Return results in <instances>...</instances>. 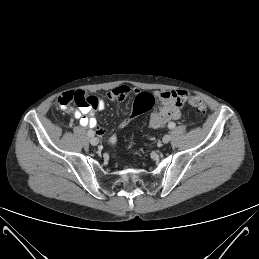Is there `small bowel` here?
Instances as JSON below:
<instances>
[{
	"mask_svg": "<svg viewBox=\"0 0 259 259\" xmlns=\"http://www.w3.org/2000/svg\"><path fill=\"white\" fill-rule=\"evenodd\" d=\"M138 90L127 85H119L113 88L107 95L110 100L122 101L129 94L137 93ZM159 108L154 111L149 118V126L159 129L166 126L172 120L180 118V109L187 98V92L183 90H172L157 92ZM58 105L62 109H67L71 103H75L78 108H71L74 117L79 120L84 127L95 128L99 136L104 135V130L97 126V120L93 112L105 109L106 103L103 99L95 96H86L83 91L66 92L58 98ZM115 138L112 139L114 141Z\"/></svg>",
	"mask_w": 259,
	"mask_h": 259,
	"instance_id": "obj_1",
	"label": "small bowel"
}]
</instances>
